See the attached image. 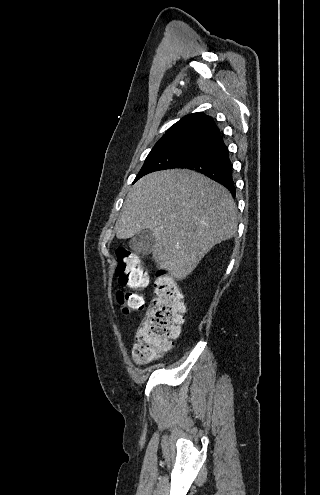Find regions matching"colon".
Masks as SVG:
<instances>
[{
  "label": "colon",
  "mask_w": 320,
  "mask_h": 495,
  "mask_svg": "<svg viewBox=\"0 0 320 495\" xmlns=\"http://www.w3.org/2000/svg\"><path fill=\"white\" fill-rule=\"evenodd\" d=\"M116 277L123 287L142 290L148 285V275L136 253L120 247L117 250ZM117 301L128 314L144 307L141 294L134 291H118ZM185 304L178 285L164 274H158L154 284V296L145 318L139 326L132 355L136 364H144L171 346L181 330Z\"/></svg>",
  "instance_id": "5ec220e1"
}]
</instances>
